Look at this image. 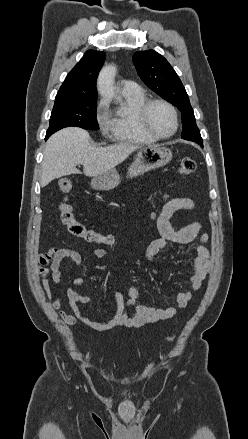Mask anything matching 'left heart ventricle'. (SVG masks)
<instances>
[{
    "label": "left heart ventricle",
    "instance_id": "b2bd125f",
    "mask_svg": "<svg viewBox=\"0 0 248 439\" xmlns=\"http://www.w3.org/2000/svg\"><path fill=\"white\" fill-rule=\"evenodd\" d=\"M148 119L151 127L161 135H167L174 129L173 116L170 110L162 104L151 106Z\"/></svg>",
    "mask_w": 248,
    "mask_h": 439
}]
</instances>
